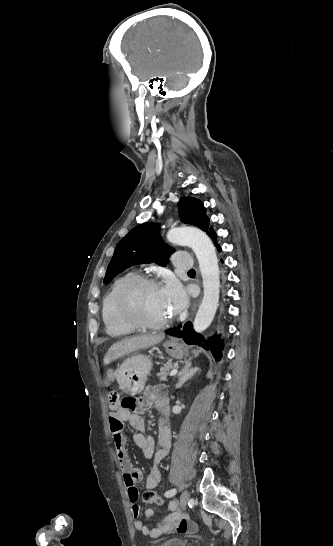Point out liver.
<instances>
[{
  "mask_svg": "<svg viewBox=\"0 0 333 546\" xmlns=\"http://www.w3.org/2000/svg\"><path fill=\"white\" fill-rule=\"evenodd\" d=\"M164 337V334H157L141 335L137 337L123 339L122 341L113 344L108 349V352L104 357V364L107 365L112 361L131 352L157 345L164 339Z\"/></svg>",
  "mask_w": 333,
  "mask_h": 546,
  "instance_id": "6515ba94",
  "label": "liver"
}]
</instances>
